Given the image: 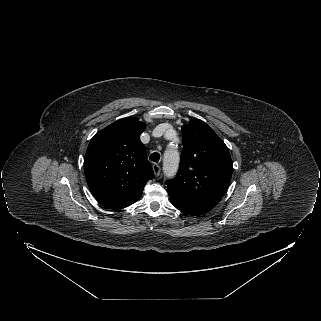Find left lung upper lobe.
I'll return each mask as SVG.
<instances>
[{"instance_id": "left-lung-upper-lobe-1", "label": "left lung upper lobe", "mask_w": 321, "mask_h": 321, "mask_svg": "<svg viewBox=\"0 0 321 321\" xmlns=\"http://www.w3.org/2000/svg\"><path fill=\"white\" fill-rule=\"evenodd\" d=\"M183 150L177 176L167 190L185 201L214 206L226 192L233 171L225 143L205 122L182 127Z\"/></svg>"}]
</instances>
